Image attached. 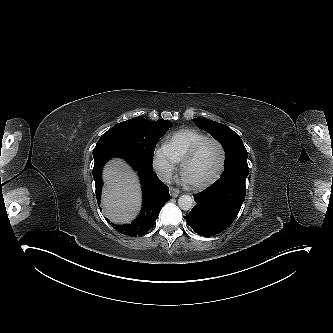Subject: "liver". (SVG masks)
<instances>
[{
  "mask_svg": "<svg viewBox=\"0 0 333 333\" xmlns=\"http://www.w3.org/2000/svg\"><path fill=\"white\" fill-rule=\"evenodd\" d=\"M102 192L104 215L114 223L124 224L140 209L141 192L136 173L121 159L111 160L104 168Z\"/></svg>",
  "mask_w": 333,
  "mask_h": 333,
  "instance_id": "obj_1",
  "label": "liver"
}]
</instances>
